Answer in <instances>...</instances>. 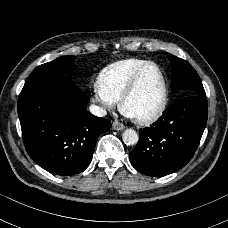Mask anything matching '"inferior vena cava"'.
Segmentation results:
<instances>
[{
    "label": "inferior vena cava",
    "instance_id": "1",
    "mask_svg": "<svg viewBox=\"0 0 228 228\" xmlns=\"http://www.w3.org/2000/svg\"><path fill=\"white\" fill-rule=\"evenodd\" d=\"M90 112L95 115V116H98V117H104L106 115V110H104L103 108L101 107H98L94 104H91L90 105Z\"/></svg>",
    "mask_w": 228,
    "mask_h": 228
}]
</instances>
